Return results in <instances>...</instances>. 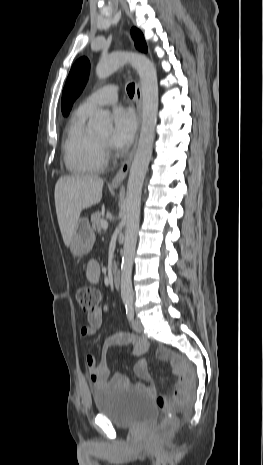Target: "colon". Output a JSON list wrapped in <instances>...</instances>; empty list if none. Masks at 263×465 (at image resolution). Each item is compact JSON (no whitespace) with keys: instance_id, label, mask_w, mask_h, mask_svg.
Instances as JSON below:
<instances>
[{"instance_id":"1","label":"colon","mask_w":263,"mask_h":465,"mask_svg":"<svg viewBox=\"0 0 263 465\" xmlns=\"http://www.w3.org/2000/svg\"><path fill=\"white\" fill-rule=\"evenodd\" d=\"M77 300L84 312L91 313L98 308L100 292L92 286H82L77 290ZM187 384V377H181L180 385L173 396L159 397L157 400L158 406L166 413L159 427L162 435L172 432L178 424L175 410L186 398Z\"/></svg>"}]
</instances>
